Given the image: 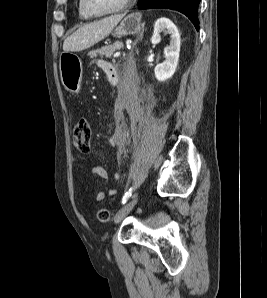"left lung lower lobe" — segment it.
Listing matches in <instances>:
<instances>
[{
    "instance_id": "left-lung-lower-lobe-1",
    "label": "left lung lower lobe",
    "mask_w": 267,
    "mask_h": 298,
    "mask_svg": "<svg viewBox=\"0 0 267 298\" xmlns=\"http://www.w3.org/2000/svg\"><path fill=\"white\" fill-rule=\"evenodd\" d=\"M200 0H138L139 9L163 8L177 10L185 14L199 30L197 16Z\"/></svg>"
}]
</instances>
